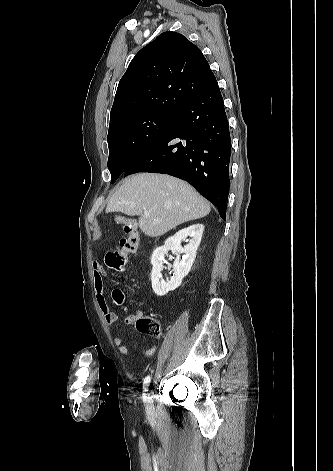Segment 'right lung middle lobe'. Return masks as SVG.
I'll return each instance as SVG.
<instances>
[{"mask_svg": "<svg viewBox=\"0 0 333 471\" xmlns=\"http://www.w3.org/2000/svg\"><path fill=\"white\" fill-rule=\"evenodd\" d=\"M175 113L144 111L124 116L109 126L108 169L111 183L173 122Z\"/></svg>", "mask_w": 333, "mask_h": 471, "instance_id": "1", "label": "right lung middle lobe"}]
</instances>
